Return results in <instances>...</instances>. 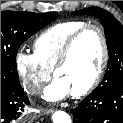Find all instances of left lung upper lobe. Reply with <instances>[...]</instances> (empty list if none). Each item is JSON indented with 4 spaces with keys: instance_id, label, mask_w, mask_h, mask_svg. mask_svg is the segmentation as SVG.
<instances>
[{
    "instance_id": "1",
    "label": "left lung upper lobe",
    "mask_w": 123,
    "mask_h": 123,
    "mask_svg": "<svg viewBox=\"0 0 123 123\" xmlns=\"http://www.w3.org/2000/svg\"><path fill=\"white\" fill-rule=\"evenodd\" d=\"M74 15L90 14L99 18L104 26L109 61L103 81L96 89L106 90L115 84L123 83V26L108 11L90 7L73 12Z\"/></svg>"
}]
</instances>
